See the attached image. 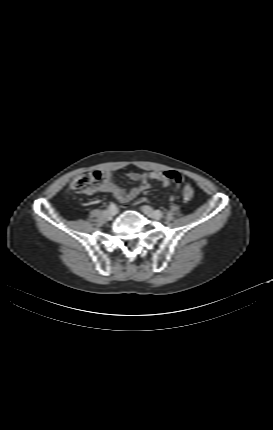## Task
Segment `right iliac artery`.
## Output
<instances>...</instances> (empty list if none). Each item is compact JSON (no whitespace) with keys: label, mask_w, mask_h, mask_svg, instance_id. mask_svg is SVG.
Listing matches in <instances>:
<instances>
[{"label":"right iliac artery","mask_w":273,"mask_h":430,"mask_svg":"<svg viewBox=\"0 0 273 430\" xmlns=\"http://www.w3.org/2000/svg\"><path fill=\"white\" fill-rule=\"evenodd\" d=\"M115 208H116V205L114 203H110L109 209H115Z\"/></svg>","instance_id":"82829eb1"}]
</instances>
